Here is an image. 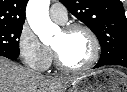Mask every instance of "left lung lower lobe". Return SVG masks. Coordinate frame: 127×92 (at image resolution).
Listing matches in <instances>:
<instances>
[{"label": "left lung lower lobe", "instance_id": "1", "mask_svg": "<svg viewBox=\"0 0 127 92\" xmlns=\"http://www.w3.org/2000/svg\"><path fill=\"white\" fill-rule=\"evenodd\" d=\"M105 65H121L127 67V47H118L112 50L108 55L101 56L100 60L94 68Z\"/></svg>", "mask_w": 127, "mask_h": 92}]
</instances>
